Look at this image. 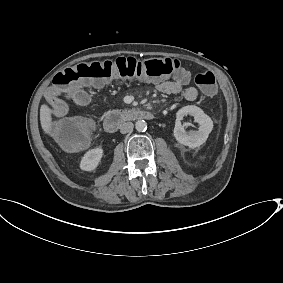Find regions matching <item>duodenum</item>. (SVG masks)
I'll list each match as a JSON object with an SVG mask.
<instances>
[{
  "label": "duodenum",
  "mask_w": 283,
  "mask_h": 283,
  "mask_svg": "<svg viewBox=\"0 0 283 283\" xmlns=\"http://www.w3.org/2000/svg\"><path fill=\"white\" fill-rule=\"evenodd\" d=\"M134 117L140 120H151L154 118V114L147 110H138ZM123 119L118 113H110L104 117L103 126L106 132L115 133L120 125L122 124Z\"/></svg>",
  "instance_id": "duodenum-1"
}]
</instances>
